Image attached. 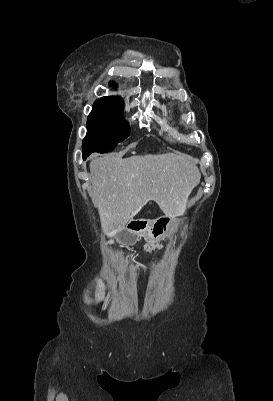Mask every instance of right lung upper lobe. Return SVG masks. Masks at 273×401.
I'll return each mask as SVG.
<instances>
[{
  "label": "right lung upper lobe",
  "mask_w": 273,
  "mask_h": 401,
  "mask_svg": "<svg viewBox=\"0 0 273 401\" xmlns=\"http://www.w3.org/2000/svg\"><path fill=\"white\" fill-rule=\"evenodd\" d=\"M110 85H114V82H111ZM97 104H104V105H111V106H118L123 107L124 103L120 97L110 96V97H103L96 100Z\"/></svg>",
  "instance_id": "cb5924a9"
}]
</instances>
